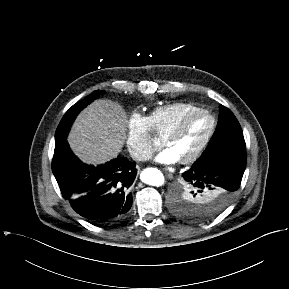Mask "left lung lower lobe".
<instances>
[{
	"label": "left lung lower lobe",
	"instance_id": "obj_1",
	"mask_svg": "<svg viewBox=\"0 0 289 289\" xmlns=\"http://www.w3.org/2000/svg\"><path fill=\"white\" fill-rule=\"evenodd\" d=\"M245 167V149H228L199 158L182 177L206 198L207 213L216 216L235 196Z\"/></svg>",
	"mask_w": 289,
	"mask_h": 289
}]
</instances>
